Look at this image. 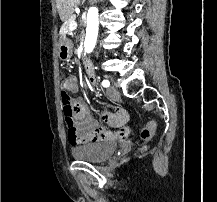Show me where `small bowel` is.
Listing matches in <instances>:
<instances>
[{"label":"small bowel","mask_w":217,"mask_h":202,"mask_svg":"<svg viewBox=\"0 0 217 202\" xmlns=\"http://www.w3.org/2000/svg\"><path fill=\"white\" fill-rule=\"evenodd\" d=\"M89 79V78H88ZM90 86L96 85V78L88 80ZM78 93V89L73 91ZM76 126L68 133V141L73 147H81L98 142L119 139L127 141L129 132L124 127L128 115L123 110L111 111L103 108L100 117L104 124H99L93 108L83 99L76 98L70 104Z\"/></svg>","instance_id":"c3829d8e"}]
</instances>
